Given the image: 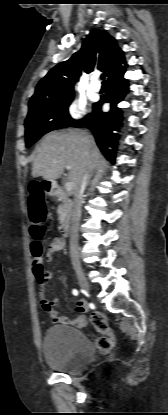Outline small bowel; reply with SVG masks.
Masks as SVG:
<instances>
[{
	"instance_id": "1",
	"label": "small bowel",
	"mask_w": 168,
	"mask_h": 415,
	"mask_svg": "<svg viewBox=\"0 0 168 415\" xmlns=\"http://www.w3.org/2000/svg\"><path fill=\"white\" fill-rule=\"evenodd\" d=\"M64 245L65 242L61 237L53 238V240L47 248L46 258L50 260L55 253L63 250ZM48 278H50L49 275ZM40 299L44 311L49 314L50 318L54 323L62 325H71L77 328H82L86 325L87 318L85 316V313L87 310V306L83 300L79 301L76 305V311L79 312L81 315L73 320H70L67 317L60 315L59 312L54 309V306H56L59 301L57 299L49 300L44 289H41L40 291Z\"/></svg>"
}]
</instances>
